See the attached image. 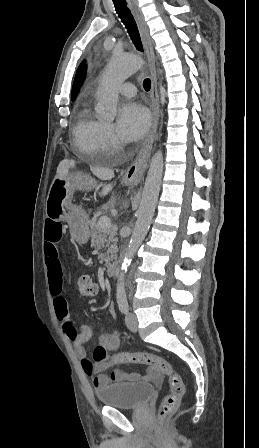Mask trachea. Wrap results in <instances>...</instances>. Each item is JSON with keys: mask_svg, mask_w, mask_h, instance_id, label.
<instances>
[{"mask_svg": "<svg viewBox=\"0 0 259 448\" xmlns=\"http://www.w3.org/2000/svg\"><path fill=\"white\" fill-rule=\"evenodd\" d=\"M114 5L116 7V11L126 26V29L131 37V40L133 41L135 47L137 50H140L143 52V46L141 42V37L136 25V22L130 12V10L127 8V4L125 0H113ZM143 87L148 92L151 88V80L149 78H145L143 81Z\"/></svg>", "mask_w": 259, "mask_h": 448, "instance_id": "obj_1", "label": "trachea"}]
</instances>
